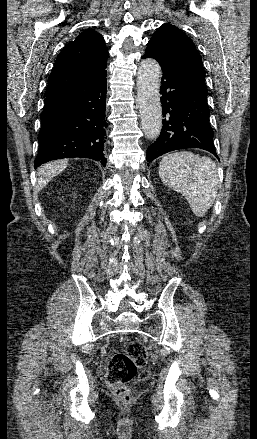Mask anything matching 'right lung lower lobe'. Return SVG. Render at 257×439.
<instances>
[{"mask_svg": "<svg viewBox=\"0 0 257 439\" xmlns=\"http://www.w3.org/2000/svg\"><path fill=\"white\" fill-rule=\"evenodd\" d=\"M106 71L45 97L35 168L51 160L90 158L106 165Z\"/></svg>", "mask_w": 257, "mask_h": 439, "instance_id": "right-lung-lower-lobe-1", "label": "right lung lower lobe"}]
</instances>
